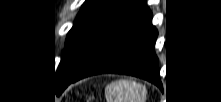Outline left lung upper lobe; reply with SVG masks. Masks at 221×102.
Listing matches in <instances>:
<instances>
[{
  "mask_svg": "<svg viewBox=\"0 0 221 102\" xmlns=\"http://www.w3.org/2000/svg\"><path fill=\"white\" fill-rule=\"evenodd\" d=\"M140 0H86L68 32L66 55L56 82L61 86L74 76L101 44L130 15Z\"/></svg>",
  "mask_w": 221,
  "mask_h": 102,
  "instance_id": "obj_1",
  "label": "left lung upper lobe"
}]
</instances>
